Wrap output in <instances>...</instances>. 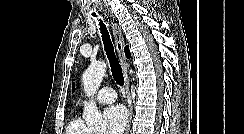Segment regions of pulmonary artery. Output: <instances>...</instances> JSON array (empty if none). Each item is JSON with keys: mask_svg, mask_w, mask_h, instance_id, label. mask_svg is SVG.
Instances as JSON below:
<instances>
[{"mask_svg": "<svg viewBox=\"0 0 244 134\" xmlns=\"http://www.w3.org/2000/svg\"><path fill=\"white\" fill-rule=\"evenodd\" d=\"M117 98L116 92L111 87H104L95 96V100L100 104L113 103Z\"/></svg>", "mask_w": 244, "mask_h": 134, "instance_id": "1", "label": "pulmonary artery"}]
</instances>
